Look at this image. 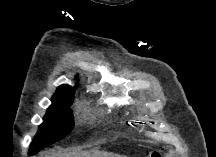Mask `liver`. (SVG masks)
<instances>
[{
  "instance_id": "1",
  "label": "liver",
  "mask_w": 216,
  "mask_h": 157,
  "mask_svg": "<svg viewBox=\"0 0 216 157\" xmlns=\"http://www.w3.org/2000/svg\"><path fill=\"white\" fill-rule=\"evenodd\" d=\"M41 157H117V155L112 153H101V152H56L55 150L45 152Z\"/></svg>"
}]
</instances>
